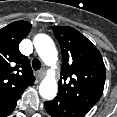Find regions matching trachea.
Here are the masks:
<instances>
[{"instance_id": "1", "label": "trachea", "mask_w": 117, "mask_h": 117, "mask_svg": "<svg viewBox=\"0 0 117 117\" xmlns=\"http://www.w3.org/2000/svg\"><path fill=\"white\" fill-rule=\"evenodd\" d=\"M32 67H33L34 70H39L41 68V62H40V60L37 59V58H34L32 60Z\"/></svg>"}]
</instances>
